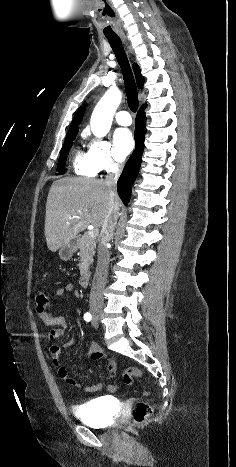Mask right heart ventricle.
I'll use <instances>...</instances> for the list:
<instances>
[{
    "label": "right heart ventricle",
    "mask_w": 236,
    "mask_h": 467,
    "mask_svg": "<svg viewBox=\"0 0 236 467\" xmlns=\"http://www.w3.org/2000/svg\"><path fill=\"white\" fill-rule=\"evenodd\" d=\"M73 169L76 174L86 177H94L97 172L91 167L87 154L77 150L73 158Z\"/></svg>",
    "instance_id": "e07e8e85"
}]
</instances>
